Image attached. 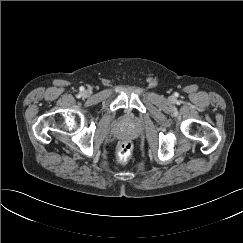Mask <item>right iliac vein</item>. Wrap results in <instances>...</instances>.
Instances as JSON below:
<instances>
[{
  "label": "right iliac vein",
  "instance_id": "right-iliac-vein-1",
  "mask_svg": "<svg viewBox=\"0 0 243 243\" xmlns=\"http://www.w3.org/2000/svg\"><path fill=\"white\" fill-rule=\"evenodd\" d=\"M88 94H89V92H87V91L84 92V95H88Z\"/></svg>",
  "mask_w": 243,
  "mask_h": 243
}]
</instances>
